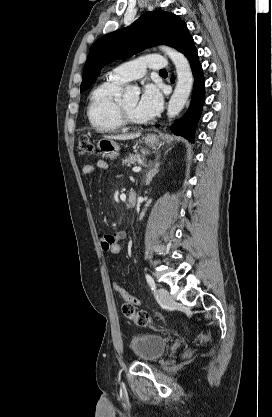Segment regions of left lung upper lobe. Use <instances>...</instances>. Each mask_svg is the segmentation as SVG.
Returning <instances> with one entry per match:
<instances>
[{
	"label": "left lung upper lobe",
	"instance_id": "5c2ea615",
	"mask_svg": "<svg viewBox=\"0 0 272 417\" xmlns=\"http://www.w3.org/2000/svg\"><path fill=\"white\" fill-rule=\"evenodd\" d=\"M157 43L174 47L185 56L195 47L185 22L178 16L162 10L147 12L131 26L109 33L92 45L84 66L81 92L95 82L105 65Z\"/></svg>",
	"mask_w": 272,
	"mask_h": 417
}]
</instances>
